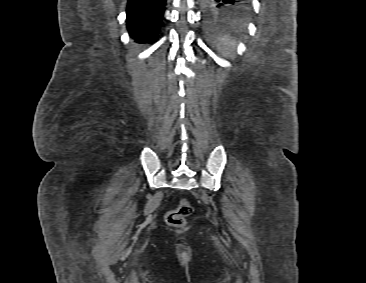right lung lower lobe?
<instances>
[{"mask_svg":"<svg viewBox=\"0 0 366 283\" xmlns=\"http://www.w3.org/2000/svg\"><path fill=\"white\" fill-rule=\"evenodd\" d=\"M166 0H128L127 28L137 42L152 43L156 38Z\"/></svg>","mask_w":366,"mask_h":283,"instance_id":"obj_1","label":"right lung lower lobe"}]
</instances>
